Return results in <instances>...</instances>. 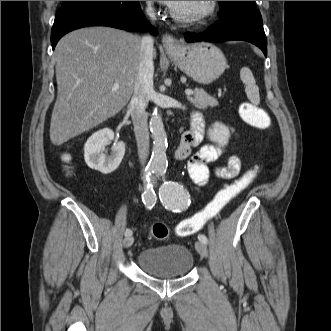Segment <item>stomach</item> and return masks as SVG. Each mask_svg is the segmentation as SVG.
Instances as JSON below:
<instances>
[{"instance_id": "1", "label": "stomach", "mask_w": 331, "mask_h": 331, "mask_svg": "<svg viewBox=\"0 0 331 331\" xmlns=\"http://www.w3.org/2000/svg\"><path fill=\"white\" fill-rule=\"evenodd\" d=\"M169 55L185 74L200 84L212 83L227 68L223 52L208 42L183 44Z\"/></svg>"}]
</instances>
